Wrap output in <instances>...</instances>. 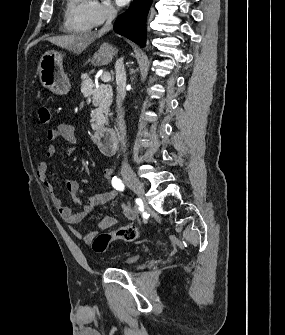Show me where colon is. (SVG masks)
<instances>
[{
	"mask_svg": "<svg viewBox=\"0 0 285 335\" xmlns=\"http://www.w3.org/2000/svg\"><path fill=\"white\" fill-rule=\"evenodd\" d=\"M37 115L42 125L51 123V112L45 104H40L37 107ZM141 235L139 228L134 226H125L113 232H102L94 236L91 241L93 251L103 253L107 251L110 245L115 241L133 242Z\"/></svg>",
	"mask_w": 285,
	"mask_h": 335,
	"instance_id": "colon-1",
	"label": "colon"
}]
</instances>
